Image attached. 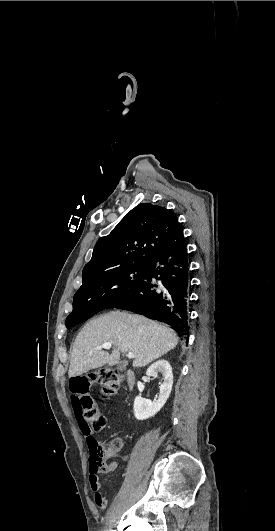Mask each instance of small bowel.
Segmentation results:
<instances>
[{"instance_id": "obj_1", "label": "small bowel", "mask_w": 275, "mask_h": 531, "mask_svg": "<svg viewBox=\"0 0 275 531\" xmlns=\"http://www.w3.org/2000/svg\"><path fill=\"white\" fill-rule=\"evenodd\" d=\"M70 400H71V403L73 404L72 406L74 409V413L76 415H79L81 413V409L83 406L82 402L80 401L81 400L80 396L76 394L72 395ZM81 431L83 435L85 436L86 443L89 447V450H91L96 444H98V441L91 434L89 427L87 426L82 427ZM119 443L120 442H117V444ZM89 484H90L91 490L93 491L94 502L97 508H99L100 510H105L108 507L109 501H108L107 493H105L102 490V485L99 481V477L90 475Z\"/></svg>"}]
</instances>
